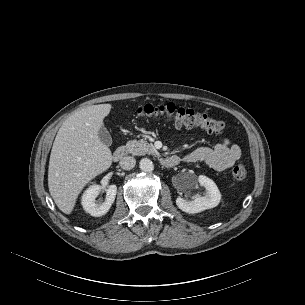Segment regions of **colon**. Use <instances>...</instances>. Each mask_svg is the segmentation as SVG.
<instances>
[{"label": "colon", "instance_id": "colon-1", "mask_svg": "<svg viewBox=\"0 0 305 305\" xmlns=\"http://www.w3.org/2000/svg\"><path fill=\"white\" fill-rule=\"evenodd\" d=\"M140 117L171 123L176 127H201L211 133L225 130L226 124L206 113L177 106L174 103L147 104L138 109ZM233 178L241 181L246 177V167L240 163L233 168Z\"/></svg>", "mask_w": 305, "mask_h": 305}]
</instances>
